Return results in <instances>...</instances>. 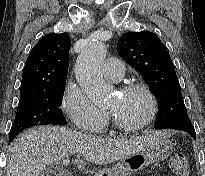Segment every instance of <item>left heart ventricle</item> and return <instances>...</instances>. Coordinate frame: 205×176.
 <instances>
[{
  "label": "left heart ventricle",
  "instance_id": "1",
  "mask_svg": "<svg viewBox=\"0 0 205 176\" xmlns=\"http://www.w3.org/2000/svg\"><path fill=\"white\" fill-rule=\"evenodd\" d=\"M107 109L112 111L123 123L134 125L142 122L149 114L147 97L139 92L118 93L114 95Z\"/></svg>",
  "mask_w": 205,
  "mask_h": 176
}]
</instances>
